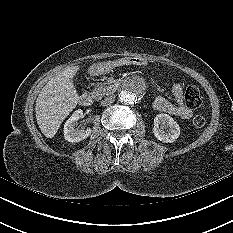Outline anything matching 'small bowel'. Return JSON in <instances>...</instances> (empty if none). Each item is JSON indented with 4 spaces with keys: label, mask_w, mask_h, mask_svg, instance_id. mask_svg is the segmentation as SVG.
<instances>
[{
    "label": "small bowel",
    "mask_w": 233,
    "mask_h": 233,
    "mask_svg": "<svg viewBox=\"0 0 233 233\" xmlns=\"http://www.w3.org/2000/svg\"><path fill=\"white\" fill-rule=\"evenodd\" d=\"M172 93L175 102H171L164 97H157L153 102L156 111L164 112L181 119H189L193 116V111L184 102V91L180 83L172 86Z\"/></svg>",
    "instance_id": "1"
}]
</instances>
